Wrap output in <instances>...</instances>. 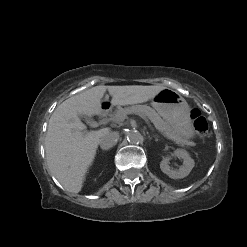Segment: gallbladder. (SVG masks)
Instances as JSON below:
<instances>
[{"mask_svg": "<svg viewBox=\"0 0 247 247\" xmlns=\"http://www.w3.org/2000/svg\"><path fill=\"white\" fill-rule=\"evenodd\" d=\"M81 116H82V117H85V116H83V115H81ZM87 122H89V123H90V122H91V120H89V119H88V120H87Z\"/></svg>", "mask_w": 247, "mask_h": 247, "instance_id": "gallbladder-1", "label": "gallbladder"}]
</instances>
